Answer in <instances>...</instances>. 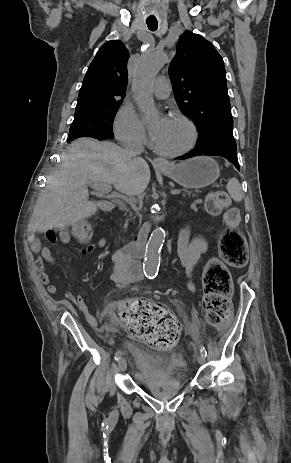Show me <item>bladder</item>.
Returning <instances> with one entry per match:
<instances>
[{"label": "bladder", "instance_id": "1", "mask_svg": "<svg viewBox=\"0 0 291 463\" xmlns=\"http://www.w3.org/2000/svg\"><path fill=\"white\" fill-rule=\"evenodd\" d=\"M127 350L140 370L137 380L146 388H159L161 386H174L181 388L185 384V380L181 376L176 375L167 377L154 364L158 360L151 357L149 350L140 345H127Z\"/></svg>", "mask_w": 291, "mask_h": 463}]
</instances>
